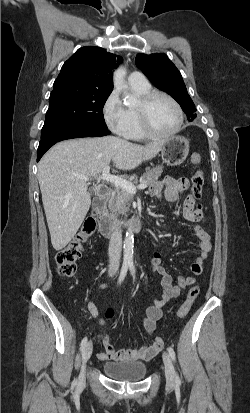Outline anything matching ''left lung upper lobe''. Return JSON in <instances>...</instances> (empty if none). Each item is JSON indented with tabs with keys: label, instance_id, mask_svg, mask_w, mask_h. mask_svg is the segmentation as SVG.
Segmentation results:
<instances>
[{
	"label": "left lung upper lobe",
	"instance_id": "left-lung-upper-lobe-1",
	"mask_svg": "<svg viewBox=\"0 0 250 413\" xmlns=\"http://www.w3.org/2000/svg\"><path fill=\"white\" fill-rule=\"evenodd\" d=\"M135 63L157 88L171 95L180 104L187 114L188 121L196 117L195 105L187 92L182 76L167 55L139 53Z\"/></svg>",
	"mask_w": 250,
	"mask_h": 413
}]
</instances>
